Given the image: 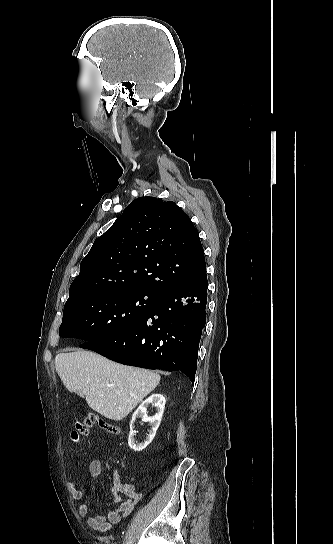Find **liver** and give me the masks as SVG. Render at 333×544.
<instances>
[{
  "mask_svg": "<svg viewBox=\"0 0 333 544\" xmlns=\"http://www.w3.org/2000/svg\"><path fill=\"white\" fill-rule=\"evenodd\" d=\"M55 367L69 392L85 397L94 411L114 421L125 418L160 382L155 372L118 364L91 351L60 353Z\"/></svg>",
  "mask_w": 333,
  "mask_h": 544,
  "instance_id": "liver-1",
  "label": "liver"
}]
</instances>
